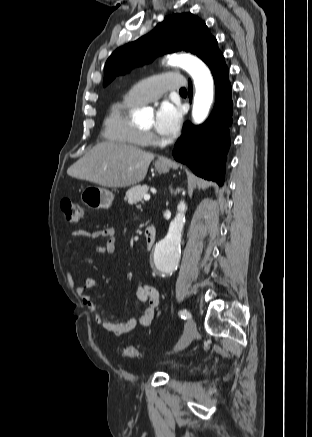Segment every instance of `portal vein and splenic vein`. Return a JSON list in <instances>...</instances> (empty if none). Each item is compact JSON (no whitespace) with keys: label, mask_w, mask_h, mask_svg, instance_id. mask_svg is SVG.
<instances>
[{"label":"portal vein and splenic vein","mask_w":312,"mask_h":437,"mask_svg":"<svg viewBox=\"0 0 312 437\" xmlns=\"http://www.w3.org/2000/svg\"><path fill=\"white\" fill-rule=\"evenodd\" d=\"M149 199H150V195H148V194L144 195V200L145 201H148Z\"/></svg>","instance_id":"18ae733b"}]
</instances>
